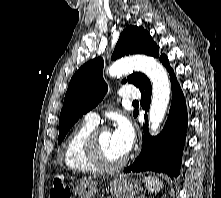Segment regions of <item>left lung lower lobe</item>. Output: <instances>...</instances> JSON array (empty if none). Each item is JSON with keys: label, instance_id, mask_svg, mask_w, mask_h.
I'll return each instance as SVG.
<instances>
[{"label": "left lung lower lobe", "instance_id": "obj_1", "mask_svg": "<svg viewBox=\"0 0 221 198\" xmlns=\"http://www.w3.org/2000/svg\"><path fill=\"white\" fill-rule=\"evenodd\" d=\"M161 62L167 68L171 78L172 102L168 119L158 136H150L148 127L145 128L142 150L134 163L124 170V173L156 171L166 173L172 178L177 177L180 173L188 121L187 109L184 95L169 65L167 56ZM139 89L141 91V106L148 111L152 93L150 81H147ZM145 118L148 120L146 115Z\"/></svg>", "mask_w": 221, "mask_h": 198}]
</instances>
